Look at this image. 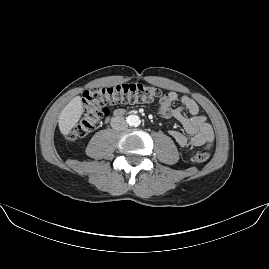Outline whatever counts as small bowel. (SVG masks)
<instances>
[{"instance_id": "obj_1", "label": "small bowel", "mask_w": 269, "mask_h": 269, "mask_svg": "<svg viewBox=\"0 0 269 269\" xmlns=\"http://www.w3.org/2000/svg\"><path fill=\"white\" fill-rule=\"evenodd\" d=\"M180 100L182 107L172 108V105ZM187 111L190 116L185 114ZM157 114L161 117L173 116L184 128L186 134L171 130L170 135L176 143L183 147H200L208 149L212 146L215 133L207 118L199 114L197 103L188 96L179 98L175 91L167 92L160 101Z\"/></svg>"}]
</instances>
